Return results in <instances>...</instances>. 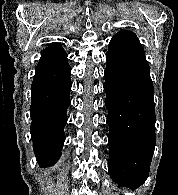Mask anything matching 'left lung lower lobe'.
<instances>
[{"label":"left lung lower lobe","instance_id":"obj_1","mask_svg":"<svg viewBox=\"0 0 178 195\" xmlns=\"http://www.w3.org/2000/svg\"><path fill=\"white\" fill-rule=\"evenodd\" d=\"M108 171L120 186L136 189L149 175L155 147L153 83L147 63L107 52Z\"/></svg>","mask_w":178,"mask_h":195}]
</instances>
